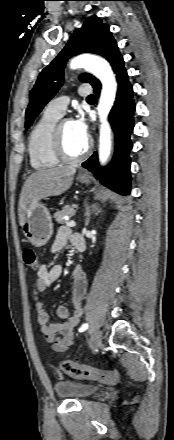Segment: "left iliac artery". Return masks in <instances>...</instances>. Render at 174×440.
Wrapping results in <instances>:
<instances>
[{"instance_id": "44dca946", "label": "left iliac artery", "mask_w": 174, "mask_h": 440, "mask_svg": "<svg viewBox=\"0 0 174 440\" xmlns=\"http://www.w3.org/2000/svg\"><path fill=\"white\" fill-rule=\"evenodd\" d=\"M87 328H88V324L85 323V324H83V325L79 328V332H83V331H85Z\"/></svg>"}]
</instances>
